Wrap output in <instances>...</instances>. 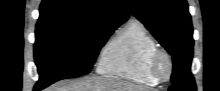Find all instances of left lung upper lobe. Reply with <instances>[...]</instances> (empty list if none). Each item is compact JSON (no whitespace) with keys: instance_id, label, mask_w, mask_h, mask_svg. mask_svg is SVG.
<instances>
[{"instance_id":"left-lung-upper-lobe-1","label":"left lung upper lobe","mask_w":220,"mask_h":91,"mask_svg":"<svg viewBox=\"0 0 220 91\" xmlns=\"http://www.w3.org/2000/svg\"><path fill=\"white\" fill-rule=\"evenodd\" d=\"M160 44L173 57L170 91H196L190 72L193 28L186 0H124Z\"/></svg>"}]
</instances>
